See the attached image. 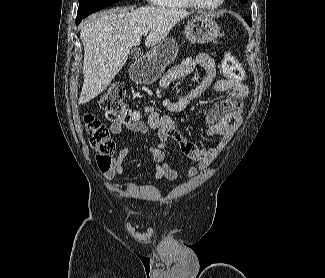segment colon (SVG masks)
Returning a JSON list of instances; mask_svg holds the SVG:
<instances>
[{
	"label": "colon",
	"mask_w": 325,
	"mask_h": 278,
	"mask_svg": "<svg viewBox=\"0 0 325 278\" xmlns=\"http://www.w3.org/2000/svg\"><path fill=\"white\" fill-rule=\"evenodd\" d=\"M223 72L234 82H241L244 78L242 64L231 53L225 52L223 57ZM98 106L112 123L128 124L138 121L140 113L132 110L126 104V91L121 85H113L98 96ZM86 130L90 137V144L96 151V163L100 170H108L112 163L116 144L108 127L91 114L84 116Z\"/></svg>",
	"instance_id": "colon-1"
}]
</instances>
